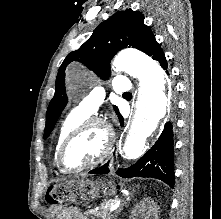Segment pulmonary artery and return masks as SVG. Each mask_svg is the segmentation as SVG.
I'll return each mask as SVG.
<instances>
[{
  "label": "pulmonary artery",
  "instance_id": "e3ab8cb5",
  "mask_svg": "<svg viewBox=\"0 0 221 219\" xmlns=\"http://www.w3.org/2000/svg\"><path fill=\"white\" fill-rule=\"evenodd\" d=\"M114 92L119 95H126L131 92V83L127 76L117 75L113 80ZM105 98L104 90L101 87L94 89L75 109L77 112L89 116L95 113Z\"/></svg>",
  "mask_w": 221,
  "mask_h": 219
}]
</instances>
